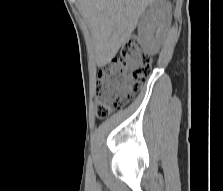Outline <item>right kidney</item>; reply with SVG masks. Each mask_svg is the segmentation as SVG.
Masks as SVG:
<instances>
[{"instance_id": "1", "label": "right kidney", "mask_w": 223, "mask_h": 191, "mask_svg": "<svg viewBox=\"0 0 223 191\" xmlns=\"http://www.w3.org/2000/svg\"><path fill=\"white\" fill-rule=\"evenodd\" d=\"M168 9V2L163 0L154 2L139 22V43L151 55L157 53L165 37L168 26Z\"/></svg>"}]
</instances>
